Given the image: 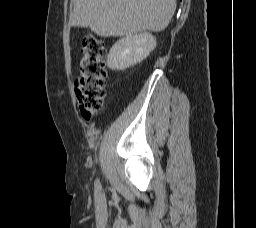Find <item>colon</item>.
Returning <instances> with one entry per match:
<instances>
[{
  "instance_id": "obj_1",
  "label": "colon",
  "mask_w": 256,
  "mask_h": 228,
  "mask_svg": "<svg viewBox=\"0 0 256 228\" xmlns=\"http://www.w3.org/2000/svg\"><path fill=\"white\" fill-rule=\"evenodd\" d=\"M79 72L75 80V94L82 117L91 119L99 113L106 95L104 43L92 34L84 37Z\"/></svg>"
}]
</instances>
